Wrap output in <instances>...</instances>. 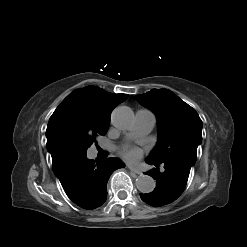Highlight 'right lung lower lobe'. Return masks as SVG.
I'll return each mask as SVG.
<instances>
[{"instance_id": "obj_1", "label": "right lung lower lobe", "mask_w": 247, "mask_h": 247, "mask_svg": "<svg viewBox=\"0 0 247 247\" xmlns=\"http://www.w3.org/2000/svg\"><path fill=\"white\" fill-rule=\"evenodd\" d=\"M125 165L117 158L96 162L86 156H60L52 161L67 196L84 209H95L106 201L107 182L113 171Z\"/></svg>"}]
</instances>
